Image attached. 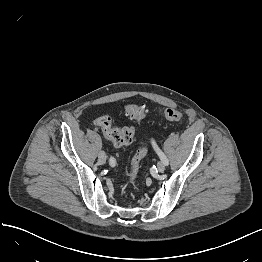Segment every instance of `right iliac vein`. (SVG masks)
Returning a JSON list of instances; mask_svg holds the SVG:
<instances>
[{
	"mask_svg": "<svg viewBox=\"0 0 262 262\" xmlns=\"http://www.w3.org/2000/svg\"><path fill=\"white\" fill-rule=\"evenodd\" d=\"M107 156L106 153L104 151H100V153L98 154V161L100 164H104L106 162Z\"/></svg>",
	"mask_w": 262,
	"mask_h": 262,
	"instance_id": "1",
	"label": "right iliac vein"
}]
</instances>
